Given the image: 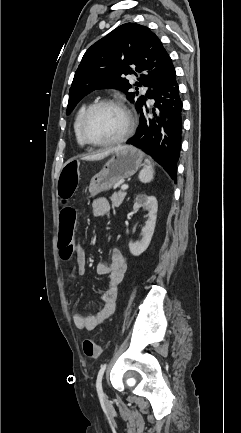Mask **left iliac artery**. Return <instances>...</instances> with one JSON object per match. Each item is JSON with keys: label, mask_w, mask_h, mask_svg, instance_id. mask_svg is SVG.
Returning a JSON list of instances; mask_svg holds the SVG:
<instances>
[{"label": "left iliac artery", "mask_w": 241, "mask_h": 433, "mask_svg": "<svg viewBox=\"0 0 241 433\" xmlns=\"http://www.w3.org/2000/svg\"><path fill=\"white\" fill-rule=\"evenodd\" d=\"M106 366H107L106 364L101 365V368L98 372L97 380H96L97 393L100 397H104V393L102 390V378H103Z\"/></svg>", "instance_id": "obj_1"}]
</instances>
